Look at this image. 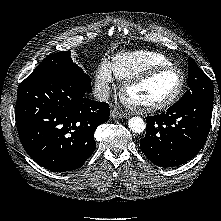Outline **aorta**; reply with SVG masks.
I'll list each match as a JSON object with an SVG mask.
<instances>
[{
    "label": "aorta",
    "mask_w": 221,
    "mask_h": 221,
    "mask_svg": "<svg viewBox=\"0 0 221 221\" xmlns=\"http://www.w3.org/2000/svg\"><path fill=\"white\" fill-rule=\"evenodd\" d=\"M128 126L134 133H142L146 127L141 117H132L128 122Z\"/></svg>",
    "instance_id": "obj_1"
}]
</instances>
